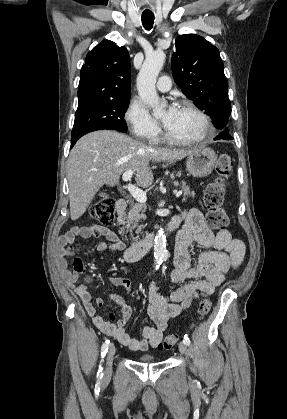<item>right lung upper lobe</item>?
Instances as JSON below:
<instances>
[{
    "instance_id": "obj_1",
    "label": "right lung upper lobe",
    "mask_w": 287,
    "mask_h": 419,
    "mask_svg": "<svg viewBox=\"0 0 287 419\" xmlns=\"http://www.w3.org/2000/svg\"><path fill=\"white\" fill-rule=\"evenodd\" d=\"M131 67L127 49L104 40L86 56L80 73L78 108L129 99Z\"/></svg>"
}]
</instances>
